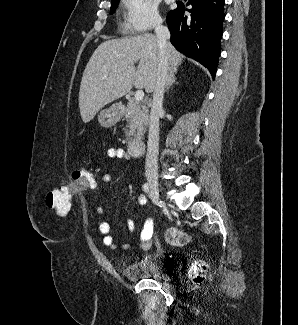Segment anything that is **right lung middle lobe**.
Wrapping results in <instances>:
<instances>
[{
	"label": "right lung middle lobe",
	"instance_id": "1",
	"mask_svg": "<svg viewBox=\"0 0 298 325\" xmlns=\"http://www.w3.org/2000/svg\"><path fill=\"white\" fill-rule=\"evenodd\" d=\"M118 3H119V0H118L117 2H113V3H111V4H112V6H111V12H112L113 10H115V8L118 6Z\"/></svg>",
	"mask_w": 298,
	"mask_h": 325
}]
</instances>
